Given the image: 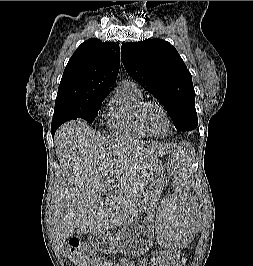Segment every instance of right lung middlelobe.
<instances>
[{"label": "right lung middle lobe", "instance_id": "1", "mask_svg": "<svg viewBox=\"0 0 253 266\" xmlns=\"http://www.w3.org/2000/svg\"><path fill=\"white\" fill-rule=\"evenodd\" d=\"M108 94L101 93L83 100L55 102L52 125L60 126L62 123L76 118H82L92 123L101 103Z\"/></svg>", "mask_w": 253, "mask_h": 266}]
</instances>
